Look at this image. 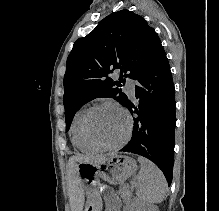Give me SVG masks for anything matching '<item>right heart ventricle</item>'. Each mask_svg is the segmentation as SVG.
Listing matches in <instances>:
<instances>
[{
    "mask_svg": "<svg viewBox=\"0 0 219 211\" xmlns=\"http://www.w3.org/2000/svg\"><path fill=\"white\" fill-rule=\"evenodd\" d=\"M86 110L82 108L74 114L70 127L71 140L73 145L81 151L95 153L98 149L86 141L82 132V119Z\"/></svg>",
    "mask_w": 219,
    "mask_h": 211,
    "instance_id": "e07e8e85",
    "label": "right heart ventricle"
}]
</instances>
